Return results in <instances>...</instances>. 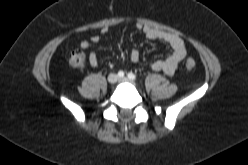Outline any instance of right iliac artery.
<instances>
[{
    "mask_svg": "<svg viewBox=\"0 0 248 165\" xmlns=\"http://www.w3.org/2000/svg\"><path fill=\"white\" fill-rule=\"evenodd\" d=\"M118 76H119V77H124V72H123V71H119V72H118Z\"/></svg>",
    "mask_w": 248,
    "mask_h": 165,
    "instance_id": "1",
    "label": "right iliac artery"
}]
</instances>
